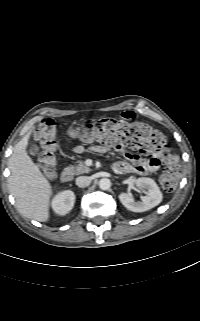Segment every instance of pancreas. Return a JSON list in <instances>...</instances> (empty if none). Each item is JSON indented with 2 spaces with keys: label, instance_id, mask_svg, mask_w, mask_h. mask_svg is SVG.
Listing matches in <instances>:
<instances>
[{
  "label": "pancreas",
  "instance_id": "obj_1",
  "mask_svg": "<svg viewBox=\"0 0 200 321\" xmlns=\"http://www.w3.org/2000/svg\"><path fill=\"white\" fill-rule=\"evenodd\" d=\"M73 168L76 174L89 173L91 171V169L82 160H79L78 164Z\"/></svg>",
  "mask_w": 200,
  "mask_h": 321
}]
</instances>
